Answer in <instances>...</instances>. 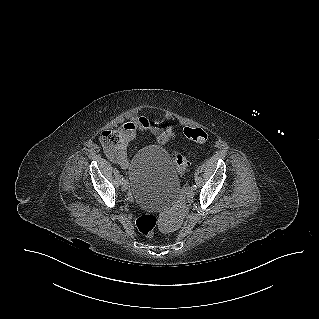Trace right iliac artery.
<instances>
[{
    "instance_id": "1",
    "label": "right iliac artery",
    "mask_w": 319,
    "mask_h": 319,
    "mask_svg": "<svg viewBox=\"0 0 319 319\" xmlns=\"http://www.w3.org/2000/svg\"><path fill=\"white\" fill-rule=\"evenodd\" d=\"M123 181H125V180H124V177L121 178V183H123Z\"/></svg>"
}]
</instances>
